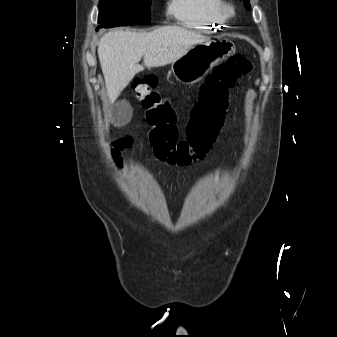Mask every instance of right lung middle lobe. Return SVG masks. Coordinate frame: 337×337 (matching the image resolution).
I'll use <instances>...</instances> for the list:
<instances>
[{
    "label": "right lung middle lobe",
    "mask_w": 337,
    "mask_h": 337,
    "mask_svg": "<svg viewBox=\"0 0 337 337\" xmlns=\"http://www.w3.org/2000/svg\"><path fill=\"white\" fill-rule=\"evenodd\" d=\"M151 0H100L99 26H115L150 23Z\"/></svg>",
    "instance_id": "dd1d6c3e"
}]
</instances>
